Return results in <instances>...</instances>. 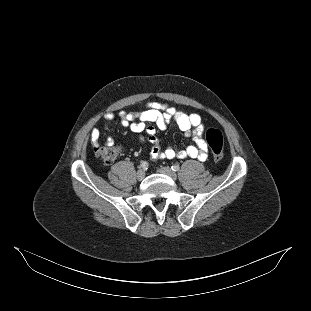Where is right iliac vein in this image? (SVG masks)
I'll use <instances>...</instances> for the list:
<instances>
[{
    "label": "right iliac vein",
    "instance_id": "right-iliac-vein-1",
    "mask_svg": "<svg viewBox=\"0 0 311 311\" xmlns=\"http://www.w3.org/2000/svg\"><path fill=\"white\" fill-rule=\"evenodd\" d=\"M136 177H137V179H138L139 181L143 180L144 177H145V172H144V170H142V169L138 170L137 173H136Z\"/></svg>",
    "mask_w": 311,
    "mask_h": 311
}]
</instances>
